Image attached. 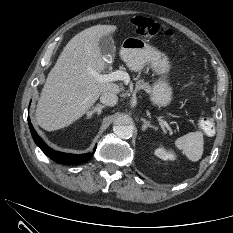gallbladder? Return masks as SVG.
Returning <instances> with one entry per match:
<instances>
[{"label":"gallbladder","mask_w":233,"mask_h":233,"mask_svg":"<svg viewBox=\"0 0 233 233\" xmlns=\"http://www.w3.org/2000/svg\"><path fill=\"white\" fill-rule=\"evenodd\" d=\"M99 48L104 56L114 55L115 45L111 35H104L99 40Z\"/></svg>","instance_id":"1"}]
</instances>
